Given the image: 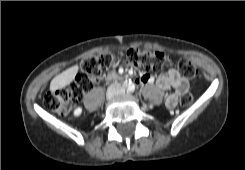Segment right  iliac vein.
<instances>
[{"mask_svg": "<svg viewBox=\"0 0 245 170\" xmlns=\"http://www.w3.org/2000/svg\"><path fill=\"white\" fill-rule=\"evenodd\" d=\"M106 97L108 100H111L114 97V93L112 91H108Z\"/></svg>", "mask_w": 245, "mask_h": 170, "instance_id": "right-iliac-vein-1", "label": "right iliac vein"}]
</instances>
